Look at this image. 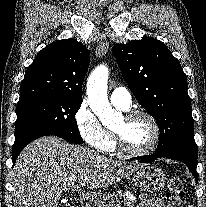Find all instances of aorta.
Segmentation results:
<instances>
[{
    "mask_svg": "<svg viewBox=\"0 0 206 207\" xmlns=\"http://www.w3.org/2000/svg\"><path fill=\"white\" fill-rule=\"evenodd\" d=\"M108 68L97 67L89 76L87 82L88 104L101 123L109 126L114 123L119 114L111 107L107 95Z\"/></svg>",
    "mask_w": 206,
    "mask_h": 207,
    "instance_id": "obj_1",
    "label": "aorta"
}]
</instances>
